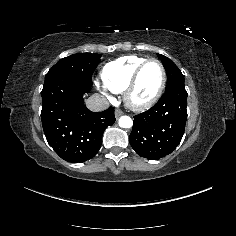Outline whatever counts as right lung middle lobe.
Here are the masks:
<instances>
[{
  "mask_svg": "<svg viewBox=\"0 0 236 236\" xmlns=\"http://www.w3.org/2000/svg\"><path fill=\"white\" fill-rule=\"evenodd\" d=\"M101 55L91 53L74 54L59 60L46 74L45 82L71 76L92 84V74L100 62Z\"/></svg>",
  "mask_w": 236,
  "mask_h": 236,
  "instance_id": "right-lung-middle-lobe-1",
  "label": "right lung middle lobe"
}]
</instances>
